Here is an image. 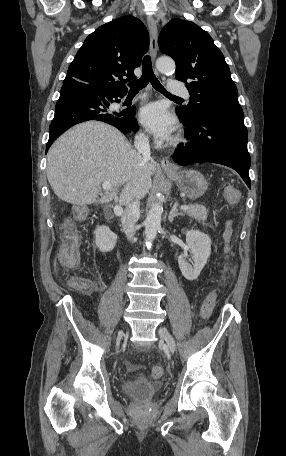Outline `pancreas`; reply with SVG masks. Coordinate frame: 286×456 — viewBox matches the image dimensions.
Segmentation results:
<instances>
[{"label":"pancreas","instance_id":"obj_1","mask_svg":"<svg viewBox=\"0 0 286 456\" xmlns=\"http://www.w3.org/2000/svg\"><path fill=\"white\" fill-rule=\"evenodd\" d=\"M188 209L184 212L190 216L191 218L195 219L196 221H205L208 217L207 213L208 210L203 205H188Z\"/></svg>","mask_w":286,"mask_h":456}]
</instances>
